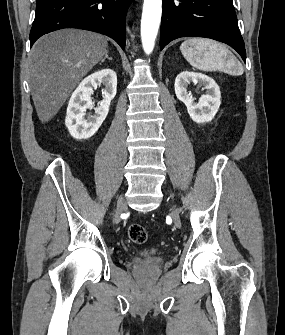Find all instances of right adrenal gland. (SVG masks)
Masks as SVG:
<instances>
[{"instance_id": "right-adrenal-gland-1", "label": "right adrenal gland", "mask_w": 285, "mask_h": 335, "mask_svg": "<svg viewBox=\"0 0 285 335\" xmlns=\"http://www.w3.org/2000/svg\"><path fill=\"white\" fill-rule=\"evenodd\" d=\"M105 60H113V58H109L108 54H105V58H103V60H101V64H103V62H105Z\"/></svg>"}]
</instances>
